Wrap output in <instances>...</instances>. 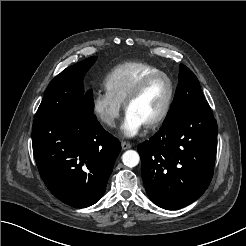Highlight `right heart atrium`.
<instances>
[{
    "label": "right heart atrium",
    "instance_id": "1",
    "mask_svg": "<svg viewBox=\"0 0 246 246\" xmlns=\"http://www.w3.org/2000/svg\"><path fill=\"white\" fill-rule=\"evenodd\" d=\"M122 105L107 91H97L91 100V109L94 116L104 126L113 128L120 116Z\"/></svg>",
    "mask_w": 246,
    "mask_h": 246
}]
</instances>
